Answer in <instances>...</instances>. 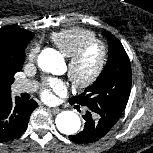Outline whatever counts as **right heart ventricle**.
<instances>
[{
    "label": "right heart ventricle",
    "instance_id": "e07e8e85",
    "mask_svg": "<svg viewBox=\"0 0 153 153\" xmlns=\"http://www.w3.org/2000/svg\"><path fill=\"white\" fill-rule=\"evenodd\" d=\"M96 38V34L87 28L70 27L54 32L50 36L51 42L66 57H69L81 44Z\"/></svg>",
    "mask_w": 153,
    "mask_h": 153
}]
</instances>
